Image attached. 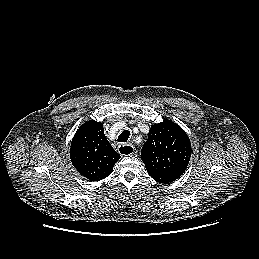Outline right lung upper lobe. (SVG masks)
Instances as JSON below:
<instances>
[{
    "mask_svg": "<svg viewBox=\"0 0 259 259\" xmlns=\"http://www.w3.org/2000/svg\"><path fill=\"white\" fill-rule=\"evenodd\" d=\"M120 157L105 137L101 122L87 121L72 139V164L82 176L91 181L109 176Z\"/></svg>",
    "mask_w": 259,
    "mask_h": 259,
    "instance_id": "1",
    "label": "right lung upper lobe"
}]
</instances>
